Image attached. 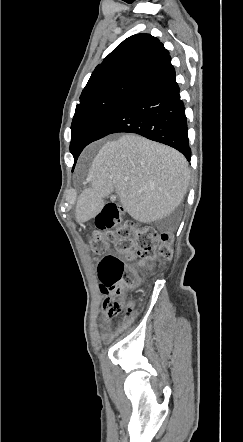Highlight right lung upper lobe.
Here are the masks:
<instances>
[{"label":"right lung upper lobe","instance_id":"cb5924a9","mask_svg":"<svg viewBox=\"0 0 243 442\" xmlns=\"http://www.w3.org/2000/svg\"><path fill=\"white\" fill-rule=\"evenodd\" d=\"M170 66L169 52L156 37L132 35L95 68L80 102L114 91H132Z\"/></svg>","mask_w":243,"mask_h":442}]
</instances>
